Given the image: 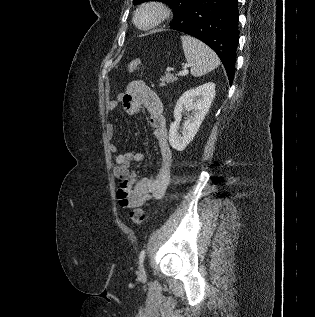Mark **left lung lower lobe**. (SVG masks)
I'll list each match as a JSON object with an SVG mask.
<instances>
[{"label": "left lung lower lobe", "instance_id": "0a47b994", "mask_svg": "<svg viewBox=\"0 0 315 317\" xmlns=\"http://www.w3.org/2000/svg\"><path fill=\"white\" fill-rule=\"evenodd\" d=\"M238 18L237 0H194L183 18L170 28L196 37L212 48L232 84L239 41Z\"/></svg>", "mask_w": 315, "mask_h": 317}]
</instances>
